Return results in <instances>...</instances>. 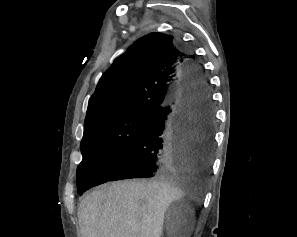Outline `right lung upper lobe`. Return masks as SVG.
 <instances>
[{
  "instance_id": "cb5924a9",
  "label": "right lung upper lobe",
  "mask_w": 297,
  "mask_h": 237,
  "mask_svg": "<svg viewBox=\"0 0 297 237\" xmlns=\"http://www.w3.org/2000/svg\"><path fill=\"white\" fill-rule=\"evenodd\" d=\"M190 54L179 41L151 33L129 47L102 75L91 96L84 129L97 121L133 112H155L185 81Z\"/></svg>"
}]
</instances>
